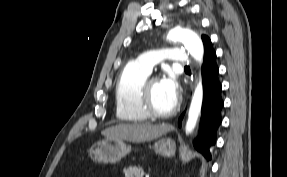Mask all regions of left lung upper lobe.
<instances>
[{
  "label": "left lung upper lobe",
  "instance_id": "obj_1",
  "mask_svg": "<svg viewBox=\"0 0 287 177\" xmlns=\"http://www.w3.org/2000/svg\"><path fill=\"white\" fill-rule=\"evenodd\" d=\"M208 39H209V37H208V36H206V35H202L203 43H205V41H207Z\"/></svg>",
  "mask_w": 287,
  "mask_h": 177
}]
</instances>
